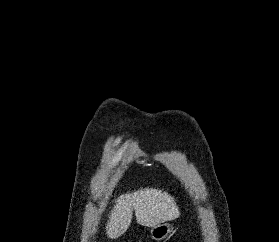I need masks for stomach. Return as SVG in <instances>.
Segmentation results:
<instances>
[{
    "mask_svg": "<svg viewBox=\"0 0 279 242\" xmlns=\"http://www.w3.org/2000/svg\"><path fill=\"white\" fill-rule=\"evenodd\" d=\"M172 232V225L169 223H161L151 228L150 237L152 240L160 242L161 240L167 238Z\"/></svg>",
    "mask_w": 279,
    "mask_h": 242,
    "instance_id": "0dacf381",
    "label": "stomach"
}]
</instances>
